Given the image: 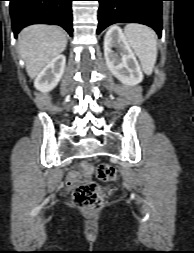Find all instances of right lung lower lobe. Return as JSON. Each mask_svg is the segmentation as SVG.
Listing matches in <instances>:
<instances>
[{
	"label": "right lung lower lobe",
	"mask_w": 194,
	"mask_h": 253,
	"mask_svg": "<svg viewBox=\"0 0 194 253\" xmlns=\"http://www.w3.org/2000/svg\"><path fill=\"white\" fill-rule=\"evenodd\" d=\"M15 36L30 24H56L72 36V0H9Z\"/></svg>",
	"instance_id": "right-lung-lower-lobe-1"
}]
</instances>
